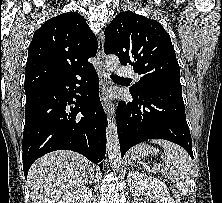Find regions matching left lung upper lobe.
I'll return each mask as SVG.
<instances>
[{
    "mask_svg": "<svg viewBox=\"0 0 222 203\" xmlns=\"http://www.w3.org/2000/svg\"><path fill=\"white\" fill-rule=\"evenodd\" d=\"M104 51L117 55L122 65H132L141 76L129 89L135 94L158 84L182 87L171 38L155 20L121 12L105 29Z\"/></svg>",
    "mask_w": 222,
    "mask_h": 203,
    "instance_id": "obj_1",
    "label": "left lung upper lobe"
}]
</instances>
